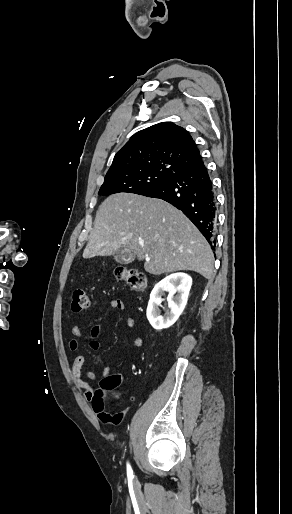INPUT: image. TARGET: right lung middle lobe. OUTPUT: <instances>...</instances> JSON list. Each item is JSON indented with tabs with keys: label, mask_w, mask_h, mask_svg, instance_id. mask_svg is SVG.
Masks as SVG:
<instances>
[{
	"label": "right lung middle lobe",
	"mask_w": 292,
	"mask_h": 514,
	"mask_svg": "<svg viewBox=\"0 0 292 514\" xmlns=\"http://www.w3.org/2000/svg\"><path fill=\"white\" fill-rule=\"evenodd\" d=\"M168 172H144L105 178L98 194L108 196L119 192L143 195L171 177Z\"/></svg>",
	"instance_id": "obj_1"
}]
</instances>
